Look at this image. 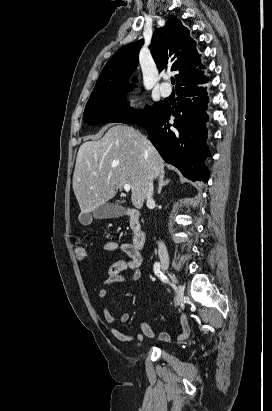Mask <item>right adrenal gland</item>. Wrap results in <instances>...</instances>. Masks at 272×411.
<instances>
[{"label": "right adrenal gland", "instance_id": "2a0ac1e0", "mask_svg": "<svg viewBox=\"0 0 272 411\" xmlns=\"http://www.w3.org/2000/svg\"><path fill=\"white\" fill-rule=\"evenodd\" d=\"M170 182V179H165V172L159 175L158 178V194L161 193L162 187L167 185Z\"/></svg>", "mask_w": 272, "mask_h": 411}]
</instances>
